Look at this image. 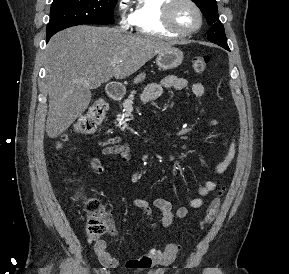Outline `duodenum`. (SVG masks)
<instances>
[{
    "label": "duodenum",
    "mask_w": 289,
    "mask_h": 274,
    "mask_svg": "<svg viewBox=\"0 0 289 274\" xmlns=\"http://www.w3.org/2000/svg\"><path fill=\"white\" fill-rule=\"evenodd\" d=\"M107 94L111 100H118L122 96V89L118 84L111 83L107 87Z\"/></svg>",
    "instance_id": "obj_1"
}]
</instances>
